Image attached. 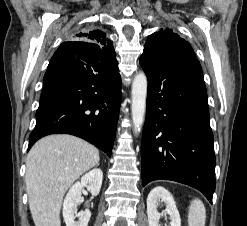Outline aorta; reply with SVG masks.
<instances>
[{
  "label": "aorta",
  "mask_w": 247,
  "mask_h": 226,
  "mask_svg": "<svg viewBox=\"0 0 247 226\" xmlns=\"http://www.w3.org/2000/svg\"><path fill=\"white\" fill-rule=\"evenodd\" d=\"M147 83V77L144 72L136 74L132 83L131 113L135 134L140 132L145 119Z\"/></svg>",
  "instance_id": "obj_1"
}]
</instances>
